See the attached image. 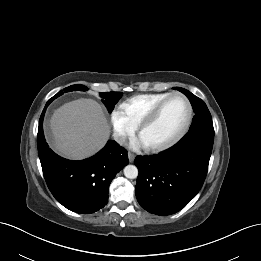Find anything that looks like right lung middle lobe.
Wrapping results in <instances>:
<instances>
[{
    "instance_id": "1",
    "label": "right lung middle lobe",
    "mask_w": 261,
    "mask_h": 261,
    "mask_svg": "<svg viewBox=\"0 0 261 261\" xmlns=\"http://www.w3.org/2000/svg\"><path fill=\"white\" fill-rule=\"evenodd\" d=\"M88 88L84 85H72L64 89L65 92L73 91V90H82L86 91ZM63 92H58L54 98H57L58 96L62 95ZM100 96L102 97V102L105 104L109 112H112L114 109L115 104L118 102V100L121 98L122 93L121 92H105L100 93Z\"/></svg>"
}]
</instances>
